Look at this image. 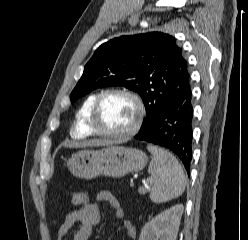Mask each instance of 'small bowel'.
I'll use <instances>...</instances> for the list:
<instances>
[{
    "label": "small bowel",
    "mask_w": 248,
    "mask_h": 240,
    "mask_svg": "<svg viewBox=\"0 0 248 240\" xmlns=\"http://www.w3.org/2000/svg\"><path fill=\"white\" fill-rule=\"evenodd\" d=\"M107 202L114 210L115 216L119 219L124 218V210L111 191H99L96 194V202L87 203L81 207L75 208L67 213L64 222L59 227L56 240H64L72 227L76 223H80V230L75 234L73 240H88L92 232L100 222V203ZM124 230L129 238L134 240L136 237V229L130 221L124 220L122 223Z\"/></svg>",
    "instance_id": "c3829d8e"
}]
</instances>
